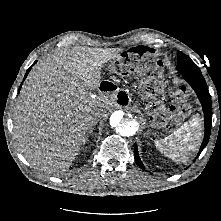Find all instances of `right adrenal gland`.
Masks as SVG:
<instances>
[{
	"mask_svg": "<svg viewBox=\"0 0 221 221\" xmlns=\"http://www.w3.org/2000/svg\"><path fill=\"white\" fill-rule=\"evenodd\" d=\"M94 126V125H93ZM93 134V128H91L90 130H89V132L87 133V135H86V137H85V142L88 140V137L90 136V135H92Z\"/></svg>",
	"mask_w": 221,
	"mask_h": 221,
	"instance_id": "right-adrenal-gland-1",
	"label": "right adrenal gland"
}]
</instances>
